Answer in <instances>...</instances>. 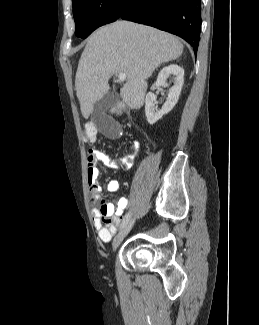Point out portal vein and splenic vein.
Here are the masks:
<instances>
[{
    "instance_id": "portal-vein-and-splenic-vein-1",
    "label": "portal vein and splenic vein",
    "mask_w": 259,
    "mask_h": 325,
    "mask_svg": "<svg viewBox=\"0 0 259 325\" xmlns=\"http://www.w3.org/2000/svg\"><path fill=\"white\" fill-rule=\"evenodd\" d=\"M118 79H119V81H125V80H126V74H124V73H119V74H118Z\"/></svg>"
}]
</instances>
